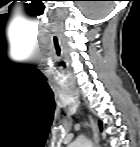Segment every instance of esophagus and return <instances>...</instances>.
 Masks as SVG:
<instances>
[{
	"instance_id": "esophagus-1",
	"label": "esophagus",
	"mask_w": 140,
	"mask_h": 147,
	"mask_svg": "<svg viewBox=\"0 0 140 147\" xmlns=\"http://www.w3.org/2000/svg\"><path fill=\"white\" fill-rule=\"evenodd\" d=\"M89 119H90V125H91L92 132H93L94 145H95V147H99V130H98V126H97L96 122L92 119L91 116H89Z\"/></svg>"
}]
</instances>
